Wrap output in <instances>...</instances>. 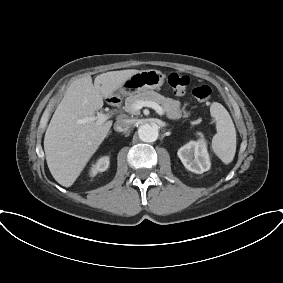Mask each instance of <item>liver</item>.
Segmentation results:
<instances>
[{"instance_id": "1", "label": "liver", "mask_w": 283, "mask_h": 283, "mask_svg": "<svg viewBox=\"0 0 283 283\" xmlns=\"http://www.w3.org/2000/svg\"><path fill=\"white\" fill-rule=\"evenodd\" d=\"M139 71L128 69L102 73L95 78L94 84L91 76L86 75L68 87L44 137L47 165L60 185H73L112 126L111 120L101 124L79 121L94 117L95 112L103 107V98L110 97Z\"/></svg>"}]
</instances>
